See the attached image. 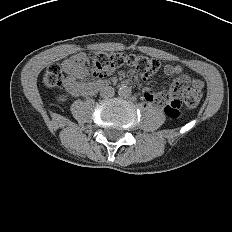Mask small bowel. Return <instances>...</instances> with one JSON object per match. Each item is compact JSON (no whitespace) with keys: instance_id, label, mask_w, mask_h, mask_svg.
<instances>
[{"instance_id":"c3829d8e","label":"small bowel","mask_w":232,"mask_h":232,"mask_svg":"<svg viewBox=\"0 0 232 232\" xmlns=\"http://www.w3.org/2000/svg\"><path fill=\"white\" fill-rule=\"evenodd\" d=\"M75 59L76 58H71L63 63L65 72L68 73V78L65 83V88L70 94L74 96L89 95L87 88L89 84L79 81L81 79H84L87 76L88 72L86 68H84L82 65L77 64L75 62ZM182 72L183 69L179 65H166L164 67V73L168 76L180 75ZM181 77H187V76H181ZM132 79L135 80V76H132ZM190 83L192 86L198 87L200 89H202L204 85L203 81L199 79H193L190 81ZM157 95L158 94H154L149 89H143L142 91L143 98L148 102H153V101L155 102V98Z\"/></svg>"}]
</instances>
